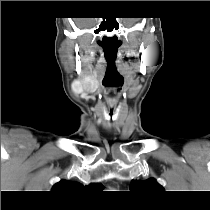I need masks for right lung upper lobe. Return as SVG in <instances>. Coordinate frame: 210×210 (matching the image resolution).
Instances as JSON below:
<instances>
[{"label":"right lung upper lobe","instance_id":"obj_1","mask_svg":"<svg viewBox=\"0 0 210 210\" xmlns=\"http://www.w3.org/2000/svg\"><path fill=\"white\" fill-rule=\"evenodd\" d=\"M81 187L82 185L79 184L78 182L61 180L60 182L56 183L53 186L52 191L57 192V193H63V192L78 190ZM88 187H93V188L101 187L102 188L103 186L101 184H90Z\"/></svg>","mask_w":210,"mask_h":210}]
</instances>
